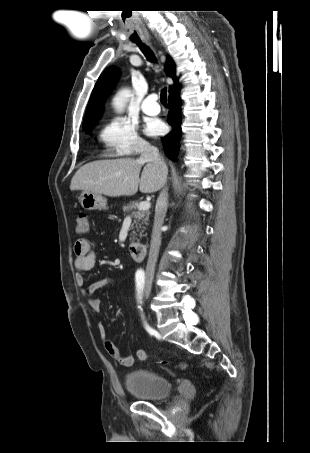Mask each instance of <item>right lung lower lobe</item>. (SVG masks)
Wrapping results in <instances>:
<instances>
[{"label":"right lung lower lobe","mask_w":310,"mask_h":453,"mask_svg":"<svg viewBox=\"0 0 310 453\" xmlns=\"http://www.w3.org/2000/svg\"><path fill=\"white\" fill-rule=\"evenodd\" d=\"M169 117L168 123L172 126V131L162 138V143L164 146V151L166 155L175 160L176 155L179 150V137L181 132V118H180V97H179V87L177 83L170 88L169 91Z\"/></svg>","instance_id":"98d812e1"}]
</instances>
